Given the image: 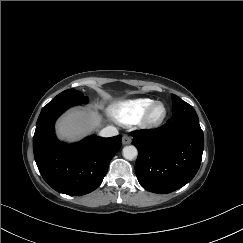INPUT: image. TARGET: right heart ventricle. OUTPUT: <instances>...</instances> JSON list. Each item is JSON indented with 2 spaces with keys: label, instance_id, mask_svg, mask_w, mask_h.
<instances>
[{
  "label": "right heart ventricle",
  "instance_id": "e07e8e85",
  "mask_svg": "<svg viewBox=\"0 0 243 243\" xmlns=\"http://www.w3.org/2000/svg\"><path fill=\"white\" fill-rule=\"evenodd\" d=\"M154 102L150 98L128 100L110 107L109 113L118 123L131 125L139 121Z\"/></svg>",
  "mask_w": 243,
  "mask_h": 243
}]
</instances>
